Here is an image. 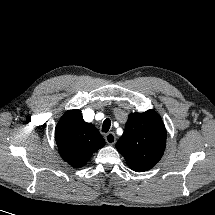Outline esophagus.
Masks as SVG:
<instances>
[{
	"instance_id": "1",
	"label": "esophagus",
	"mask_w": 215,
	"mask_h": 215,
	"mask_svg": "<svg viewBox=\"0 0 215 215\" xmlns=\"http://www.w3.org/2000/svg\"><path fill=\"white\" fill-rule=\"evenodd\" d=\"M105 141L109 144V145H113L116 142V136L113 132H109L105 135Z\"/></svg>"
}]
</instances>
